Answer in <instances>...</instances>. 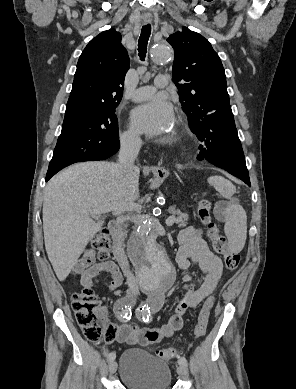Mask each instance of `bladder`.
I'll return each instance as SVG.
<instances>
[{"label": "bladder", "instance_id": "31cf9c89", "mask_svg": "<svg viewBox=\"0 0 296 389\" xmlns=\"http://www.w3.org/2000/svg\"><path fill=\"white\" fill-rule=\"evenodd\" d=\"M119 377L128 389H170L172 382L166 362L137 348L122 353Z\"/></svg>", "mask_w": 296, "mask_h": 389}]
</instances>
